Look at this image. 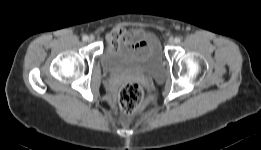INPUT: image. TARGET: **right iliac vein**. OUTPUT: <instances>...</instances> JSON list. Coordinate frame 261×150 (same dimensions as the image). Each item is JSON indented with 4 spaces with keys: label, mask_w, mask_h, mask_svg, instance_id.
<instances>
[{
    "label": "right iliac vein",
    "mask_w": 261,
    "mask_h": 150,
    "mask_svg": "<svg viewBox=\"0 0 261 150\" xmlns=\"http://www.w3.org/2000/svg\"><path fill=\"white\" fill-rule=\"evenodd\" d=\"M94 39H95V37H94L93 35H91V36L88 38V41H89V42H92V41H94Z\"/></svg>",
    "instance_id": "1"
}]
</instances>
